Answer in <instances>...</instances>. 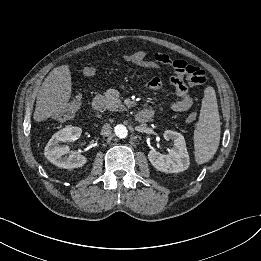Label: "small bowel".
I'll return each instance as SVG.
<instances>
[{
	"instance_id": "1",
	"label": "small bowel",
	"mask_w": 261,
	"mask_h": 261,
	"mask_svg": "<svg viewBox=\"0 0 261 261\" xmlns=\"http://www.w3.org/2000/svg\"><path fill=\"white\" fill-rule=\"evenodd\" d=\"M153 59L156 63L168 64L172 59L163 53L150 54L147 51H136L129 54L128 60L141 67H145V63ZM154 62V63H155ZM97 72L96 64H88L83 69L85 77L93 76ZM169 84L174 89L175 98L171 103V107L175 111L183 112L188 110L193 105V98L189 94V89L192 87L190 83L181 80L178 77L171 76L168 79ZM163 81L160 77L154 76L148 82V88L152 91L162 89Z\"/></svg>"
}]
</instances>
